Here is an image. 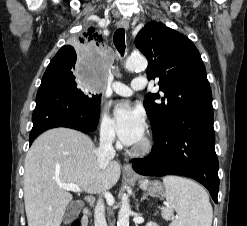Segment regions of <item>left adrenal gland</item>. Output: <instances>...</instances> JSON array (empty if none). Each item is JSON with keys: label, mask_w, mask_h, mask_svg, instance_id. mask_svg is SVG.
<instances>
[{"label": "left adrenal gland", "mask_w": 247, "mask_h": 226, "mask_svg": "<svg viewBox=\"0 0 247 226\" xmlns=\"http://www.w3.org/2000/svg\"><path fill=\"white\" fill-rule=\"evenodd\" d=\"M148 199V195L144 194L141 198V201Z\"/></svg>", "instance_id": "a2214340"}]
</instances>
